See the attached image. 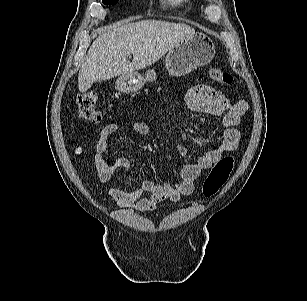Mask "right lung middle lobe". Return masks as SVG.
Returning a JSON list of instances; mask_svg holds the SVG:
<instances>
[{
    "label": "right lung middle lobe",
    "instance_id": "right-lung-middle-lobe-1",
    "mask_svg": "<svg viewBox=\"0 0 307 301\" xmlns=\"http://www.w3.org/2000/svg\"><path fill=\"white\" fill-rule=\"evenodd\" d=\"M102 2L104 4L111 5V4H115L116 2H118V0H102Z\"/></svg>",
    "mask_w": 307,
    "mask_h": 301
}]
</instances>
